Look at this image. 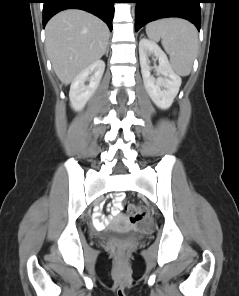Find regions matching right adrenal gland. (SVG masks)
Instances as JSON below:
<instances>
[{
    "label": "right adrenal gland",
    "instance_id": "right-adrenal-gland-1",
    "mask_svg": "<svg viewBox=\"0 0 239 296\" xmlns=\"http://www.w3.org/2000/svg\"><path fill=\"white\" fill-rule=\"evenodd\" d=\"M108 52H109V47H108V45H107V48H106V51H105V55H106V57L108 56Z\"/></svg>",
    "mask_w": 239,
    "mask_h": 296
}]
</instances>
